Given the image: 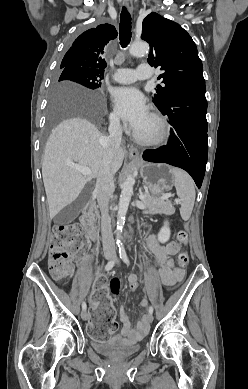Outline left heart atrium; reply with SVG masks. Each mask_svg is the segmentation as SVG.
<instances>
[{
  "label": "left heart atrium",
  "instance_id": "obj_1",
  "mask_svg": "<svg viewBox=\"0 0 248 389\" xmlns=\"http://www.w3.org/2000/svg\"><path fill=\"white\" fill-rule=\"evenodd\" d=\"M112 100L119 115L134 131L149 115L145 97L134 87L115 88L112 91Z\"/></svg>",
  "mask_w": 248,
  "mask_h": 389
}]
</instances>
